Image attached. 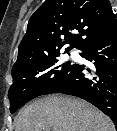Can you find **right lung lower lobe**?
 <instances>
[{"mask_svg":"<svg viewBox=\"0 0 117 131\" xmlns=\"http://www.w3.org/2000/svg\"><path fill=\"white\" fill-rule=\"evenodd\" d=\"M89 67L73 64L62 84L51 93L82 98L108 115L117 129V29L84 47Z\"/></svg>","mask_w":117,"mask_h":131,"instance_id":"right-lung-lower-lobe-1","label":"right lung lower lobe"}]
</instances>
